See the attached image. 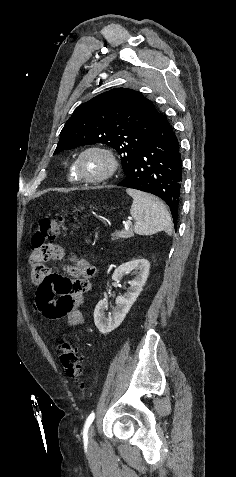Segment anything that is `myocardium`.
<instances>
[{
  "instance_id": "myocardium-1",
  "label": "myocardium",
  "mask_w": 236,
  "mask_h": 477,
  "mask_svg": "<svg viewBox=\"0 0 236 477\" xmlns=\"http://www.w3.org/2000/svg\"><path fill=\"white\" fill-rule=\"evenodd\" d=\"M88 153H98L107 160L108 168L103 174L96 177H87L82 174L80 169V163L82 158ZM117 169H118V161L114 153L111 150L102 146H98V145L89 146L85 148L84 150H82L74 162V171L78 177V180L80 182L89 183V184H99L109 180L110 178L114 176Z\"/></svg>"
}]
</instances>
